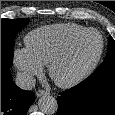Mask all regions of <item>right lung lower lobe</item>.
<instances>
[{"instance_id":"obj_1","label":"right lung lower lobe","mask_w":115,"mask_h":115,"mask_svg":"<svg viewBox=\"0 0 115 115\" xmlns=\"http://www.w3.org/2000/svg\"><path fill=\"white\" fill-rule=\"evenodd\" d=\"M35 97L13 82L10 69L1 67V115H26Z\"/></svg>"}]
</instances>
